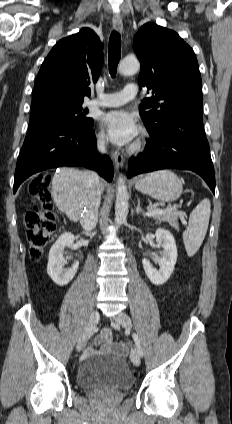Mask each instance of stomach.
Returning <instances> with one entry per match:
<instances>
[{"label": "stomach", "mask_w": 232, "mask_h": 424, "mask_svg": "<svg viewBox=\"0 0 232 424\" xmlns=\"http://www.w3.org/2000/svg\"><path fill=\"white\" fill-rule=\"evenodd\" d=\"M137 191L161 202H173L182 194V182L170 170L149 173L135 182Z\"/></svg>", "instance_id": "1"}]
</instances>
